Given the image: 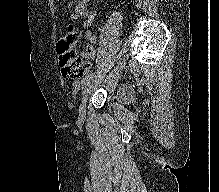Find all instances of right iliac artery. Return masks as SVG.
<instances>
[{"mask_svg":"<svg viewBox=\"0 0 219 192\" xmlns=\"http://www.w3.org/2000/svg\"><path fill=\"white\" fill-rule=\"evenodd\" d=\"M92 75H93L92 73L87 74L81 82L75 83V87L79 88L81 86V84L86 83L91 78Z\"/></svg>","mask_w":219,"mask_h":192,"instance_id":"1","label":"right iliac artery"}]
</instances>
